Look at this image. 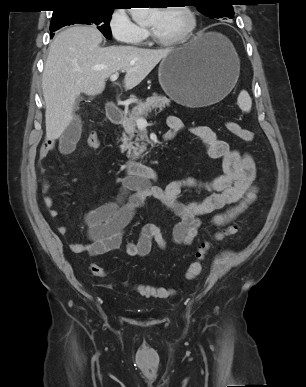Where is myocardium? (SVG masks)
Instances as JSON below:
<instances>
[{
  "label": "myocardium",
  "mask_w": 306,
  "mask_h": 387,
  "mask_svg": "<svg viewBox=\"0 0 306 387\" xmlns=\"http://www.w3.org/2000/svg\"><path fill=\"white\" fill-rule=\"evenodd\" d=\"M171 7H176L184 11L189 19V23L185 31L179 37L170 39V40H163L158 38L155 35V33L151 29H149V36L151 40L159 46L170 47V46H177V45L184 44L187 41H189V39L192 37L193 33L197 28L198 18H197L196 12L192 7H190L189 5H180V6H166L159 9H166Z\"/></svg>",
  "instance_id": "myocardium-1"
}]
</instances>
